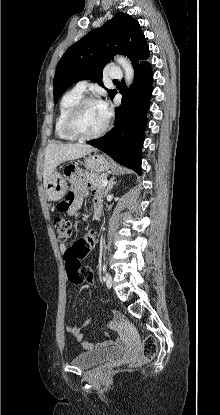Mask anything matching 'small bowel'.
<instances>
[{"label":"small bowel","instance_id":"obj_1","mask_svg":"<svg viewBox=\"0 0 220 415\" xmlns=\"http://www.w3.org/2000/svg\"><path fill=\"white\" fill-rule=\"evenodd\" d=\"M88 194V189L86 186L82 184H77L73 191H70L67 194L66 203L67 207L62 209V211L67 212L70 216L77 217L78 211L81 208L85 197ZM93 209L94 215L97 217V214L102 211V198L101 193L98 190H93ZM89 246L90 249L94 248L97 242V232L96 230L92 229L84 238H82ZM66 246L64 244L60 245V250L62 253H65ZM91 320H87L85 325H89ZM66 330L72 334L75 339L81 343L82 347L86 350H93V349H102L106 347H110L116 345L117 342L114 340H103L96 344L91 343L90 341L86 340L84 334L82 332V328L80 326L74 325H67Z\"/></svg>","mask_w":220,"mask_h":415}]
</instances>
